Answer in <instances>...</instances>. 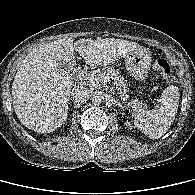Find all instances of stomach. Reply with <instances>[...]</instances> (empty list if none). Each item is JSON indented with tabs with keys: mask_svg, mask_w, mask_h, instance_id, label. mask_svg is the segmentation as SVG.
<instances>
[{
	"mask_svg": "<svg viewBox=\"0 0 195 195\" xmlns=\"http://www.w3.org/2000/svg\"><path fill=\"white\" fill-rule=\"evenodd\" d=\"M151 65V54L143 47H138L125 57V66L130 76L139 81L147 77Z\"/></svg>",
	"mask_w": 195,
	"mask_h": 195,
	"instance_id": "1",
	"label": "stomach"
}]
</instances>
